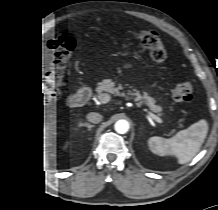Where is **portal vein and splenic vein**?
Segmentation results:
<instances>
[{
  "label": "portal vein and splenic vein",
  "mask_w": 218,
  "mask_h": 210,
  "mask_svg": "<svg viewBox=\"0 0 218 210\" xmlns=\"http://www.w3.org/2000/svg\"><path fill=\"white\" fill-rule=\"evenodd\" d=\"M100 102L102 103H106L108 101V96L106 94H102L99 97ZM137 106H140L139 104H137ZM152 119H154L157 123L159 124H163V120L161 118H159L158 116H156L155 114L151 113L150 111H148L147 109H143Z\"/></svg>",
  "instance_id": "1"
}]
</instances>
